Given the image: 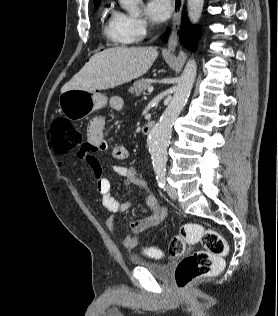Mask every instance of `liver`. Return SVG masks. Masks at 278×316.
Segmentation results:
<instances>
[{
    "instance_id": "6515ba94",
    "label": "liver",
    "mask_w": 278,
    "mask_h": 316,
    "mask_svg": "<svg viewBox=\"0 0 278 316\" xmlns=\"http://www.w3.org/2000/svg\"><path fill=\"white\" fill-rule=\"evenodd\" d=\"M158 56L155 47H115L94 54L61 92L107 90L145 74Z\"/></svg>"
}]
</instances>
